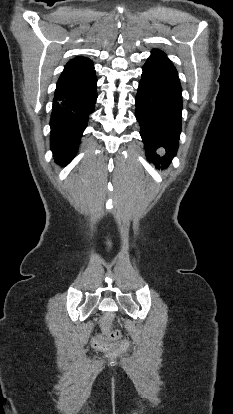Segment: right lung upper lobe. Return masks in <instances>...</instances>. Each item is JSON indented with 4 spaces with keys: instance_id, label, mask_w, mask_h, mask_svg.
<instances>
[{
    "instance_id": "obj_1",
    "label": "right lung upper lobe",
    "mask_w": 233,
    "mask_h": 414,
    "mask_svg": "<svg viewBox=\"0 0 233 414\" xmlns=\"http://www.w3.org/2000/svg\"><path fill=\"white\" fill-rule=\"evenodd\" d=\"M91 67H93V63L90 59L76 57L66 64L64 71H83Z\"/></svg>"
}]
</instances>
